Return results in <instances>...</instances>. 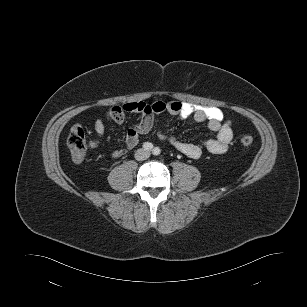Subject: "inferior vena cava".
Instances as JSON below:
<instances>
[{
    "label": "inferior vena cava",
    "instance_id": "obj_1",
    "mask_svg": "<svg viewBox=\"0 0 307 307\" xmlns=\"http://www.w3.org/2000/svg\"><path fill=\"white\" fill-rule=\"evenodd\" d=\"M150 153L144 149H139L137 150V152L135 153V159L138 161H142L145 160L147 158H149Z\"/></svg>",
    "mask_w": 307,
    "mask_h": 307
}]
</instances>
